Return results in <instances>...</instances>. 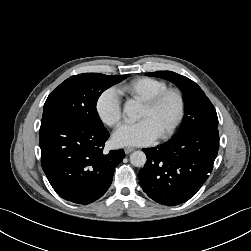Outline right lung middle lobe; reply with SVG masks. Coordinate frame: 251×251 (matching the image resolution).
<instances>
[{"instance_id": "1", "label": "right lung middle lobe", "mask_w": 251, "mask_h": 251, "mask_svg": "<svg viewBox=\"0 0 251 251\" xmlns=\"http://www.w3.org/2000/svg\"><path fill=\"white\" fill-rule=\"evenodd\" d=\"M128 76L100 73L71 76L48 96L41 123L56 118H70L93 126H103L96 110L97 100L102 92Z\"/></svg>"}]
</instances>
